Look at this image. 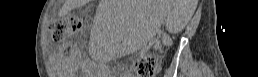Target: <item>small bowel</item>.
Returning a JSON list of instances; mask_svg holds the SVG:
<instances>
[{
  "label": "small bowel",
  "mask_w": 258,
  "mask_h": 77,
  "mask_svg": "<svg viewBox=\"0 0 258 77\" xmlns=\"http://www.w3.org/2000/svg\"><path fill=\"white\" fill-rule=\"evenodd\" d=\"M67 61L69 63L70 68L73 69L74 68V64H75L74 61L73 60H69V59H67Z\"/></svg>",
  "instance_id": "c3829d8e"
}]
</instances>
